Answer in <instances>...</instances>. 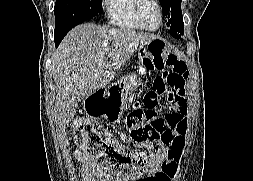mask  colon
I'll return each mask as SVG.
<instances>
[{"instance_id":"1","label":"colon","mask_w":253,"mask_h":181,"mask_svg":"<svg viewBox=\"0 0 253 181\" xmlns=\"http://www.w3.org/2000/svg\"><path fill=\"white\" fill-rule=\"evenodd\" d=\"M148 46L151 50L143 48V53L153 55L159 69L168 70L154 81L144 107L135 101L125 120L130 140L145 150H132L101 125L85 118L74 125L77 144L104 171L139 175L175 156V132L179 131V115L186 104L184 85L188 71L185 62L176 56L180 55L179 47H168L161 38L148 41ZM161 105L164 114L160 113Z\"/></svg>"}]
</instances>
